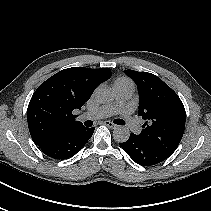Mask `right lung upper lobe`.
I'll use <instances>...</instances> for the list:
<instances>
[{
  "label": "right lung upper lobe",
  "mask_w": 211,
  "mask_h": 211,
  "mask_svg": "<svg viewBox=\"0 0 211 211\" xmlns=\"http://www.w3.org/2000/svg\"><path fill=\"white\" fill-rule=\"evenodd\" d=\"M111 77L108 68L72 67L61 70L34 92L27 110L28 127L41 146L61 132L83 126L73 113L81 109L95 88Z\"/></svg>",
  "instance_id": "right-lung-upper-lobe-1"
}]
</instances>
